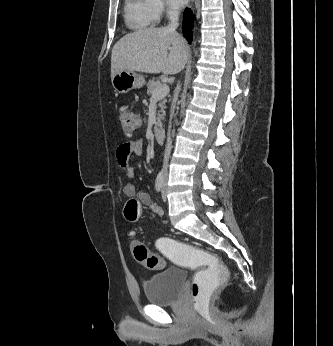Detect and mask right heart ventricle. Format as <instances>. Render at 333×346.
<instances>
[{
  "mask_svg": "<svg viewBox=\"0 0 333 346\" xmlns=\"http://www.w3.org/2000/svg\"><path fill=\"white\" fill-rule=\"evenodd\" d=\"M124 18L127 26L134 30L146 29L155 23L147 0H125Z\"/></svg>",
  "mask_w": 333,
  "mask_h": 346,
  "instance_id": "obj_1",
  "label": "right heart ventricle"
}]
</instances>
